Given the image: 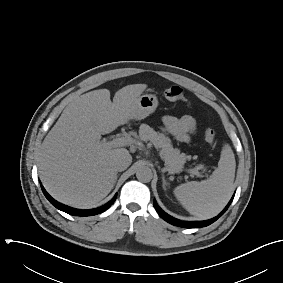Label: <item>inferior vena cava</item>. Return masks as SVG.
<instances>
[{"label": "inferior vena cava", "instance_id": "inferior-vena-cava-1", "mask_svg": "<svg viewBox=\"0 0 283 283\" xmlns=\"http://www.w3.org/2000/svg\"><path fill=\"white\" fill-rule=\"evenodd\" d=\"M132 162V157L129 153L119 155L115 159V168L117 171H124Z\"/></svg>", "mask_w": 283, "mask_h": 283}]
</instances>
